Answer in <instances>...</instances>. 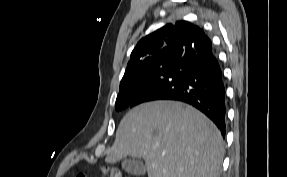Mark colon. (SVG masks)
I'll list each match as a JSON object with an SVG mask.
<instances>
[{"label":"colon","instance_id":"colon-1","mask_svg":"<svg viewBox=\"0 0 287 177\" xmlns=\"http://www.w3.org/2000/svg\"><path fill=\"white\" fill-rule=\"evenodd\" d=\"M75 177H86V174L78 173ZM102 177H126V175L119 168L105 166L102 168Z\"/></svg>","mask_w":287,"mask_h":177}]
</instances>
